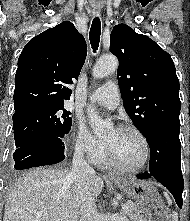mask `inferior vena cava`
<instances>
[{
  "label": "inferior vena cava",
  "mask_w": 190,
  "mask_h": 221,
  "mask_svg": "<svg viewBox=\"0 0 190 221\" xmlns=\"http://www.w3.org/2000/svg\"><path fill=\"white\" fill-rule=\"evenodd\" d=\"M72 165L70 176L75 180L77 188L81 191L87 190L94 170L84 159L83 148L80 145H76ZM79 219V221H99L95 200L88 192L84 196Z\"/></svg>",
  "instance_id": "602c4592"
}]
</instances>
